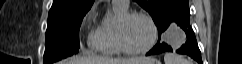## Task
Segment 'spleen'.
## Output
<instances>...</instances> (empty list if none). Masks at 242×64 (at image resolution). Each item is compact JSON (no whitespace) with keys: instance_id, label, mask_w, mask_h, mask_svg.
<instances>
[{"instance_id":"obj_1","label":"spleen","mask_w":242,"mask_h":64,"mask_svg":"<svg viewBox=\"0 0 242 64\" xmlns=\"http://www.w3.org/2000/svg\"><path fill=\"white\" fill-rule=\"evenodd\" d=\"M164 61L165 64H190L188 60L175 54H166Z\"/></svg>"}]
</instances>
